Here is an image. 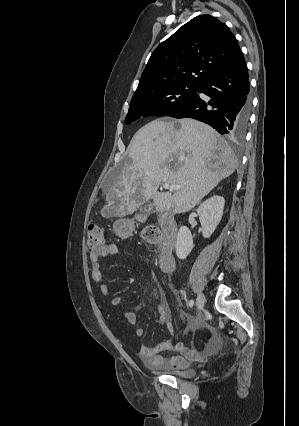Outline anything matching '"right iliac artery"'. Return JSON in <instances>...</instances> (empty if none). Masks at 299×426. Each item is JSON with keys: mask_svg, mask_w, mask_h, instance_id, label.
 Instances as JSON below:
<instances>
[{"mask_svg": "<svg viewBox=\"0 0 299 426\" xmlns=\"http://www.w3.org/2000/svg\"><path fill=\"white\" fill-rule=\"evenodd\" d=\"M193 305H194V301H193V300H190V301H189V307L191 308Z\"/></svg>", "mask_w": 299, "mask_h": 426, "instance_id": "right-iliac-artery-1", "label": "right iliac artery"}]
</instances>
